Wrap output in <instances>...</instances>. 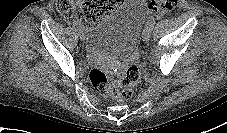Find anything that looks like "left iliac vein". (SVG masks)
<instances>
[{
	"mask_svg": "<svg viewBox=\"0 0 227 133\" xmlns=\"http://www.w3.org/2000/svg\"><path fill=\"white\" fill-rule=\"evenodd\" d=\"M152 29L149 26H146L142 33V38L145 43L149 42L151 37Z\"/></svg>",
	"mask_w": 227,
	"mask_h": 133,
	"instance_id": "4c4485c4",
	"label": "left iliac vein"
}]
</instances>
